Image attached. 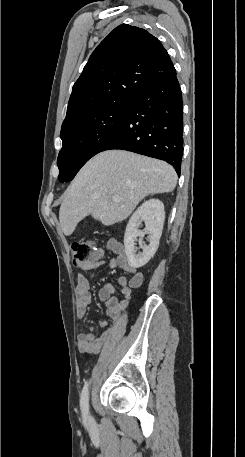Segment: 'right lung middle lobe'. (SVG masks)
<instances>
[{"mask_svg": "<svg viewBox=\"0 0 245 457\" xmlns=\"http://www.w3.org/2000/svg\"><path fill=\"white\" fill-rule=\"evenodd\" d=\"M132 101L117 100L62 124V149L57 165L60 182L70 181L79 169L111 140Z\"/></svg>", "mask_w": 245, "mask_h": 457, "instance_id": "obj_1", "label": "right lung middle lobe"}]
</instances>
